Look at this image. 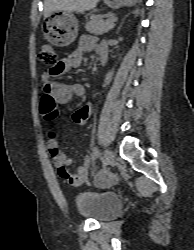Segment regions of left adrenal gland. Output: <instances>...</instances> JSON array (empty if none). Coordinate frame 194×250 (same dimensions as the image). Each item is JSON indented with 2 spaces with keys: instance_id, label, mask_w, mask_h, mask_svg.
Instances as JSON below:
<instances>
[{
  "instance_id": "obj_1",
  "label": "left adrenal gland",
  "mask_w": 194,
  "mask_h": 250,
  "mask_svg": "<svg viewBox=\"0 0 194 250\" xmlns=\"http://www.w3.org/2000/svg\"><path fill=\"white\" fill-rule=\"evenodd\" d=\"M120 29H121V26L118 27V30L116 32L117 34L119 33Z\"/></svg>"
}]
</instances>
